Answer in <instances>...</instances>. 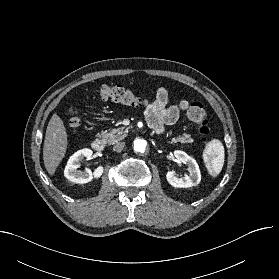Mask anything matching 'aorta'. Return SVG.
I'll return each instance as SVG.
<instances>
[{
    "label": "aorta",
    "mask_w": 279,
    "mask_h": 279,
    "mask_svg": "<svg viewBox=\"0 0 279 279\" xmlns=\"http://www.w3.org/2000/svg\"><path fill=\"white\" fill-rule=\"evenodd\" d=\"M147 142L143 139H136L134 141V150L136 152L144 153L146 150Z\"/></svg>",
    "instance_id": "1"
}]
</instances>
